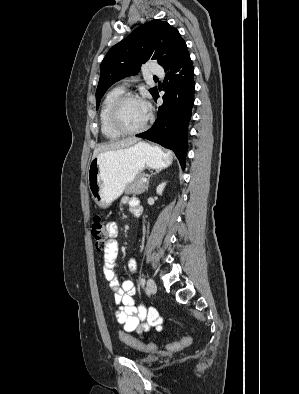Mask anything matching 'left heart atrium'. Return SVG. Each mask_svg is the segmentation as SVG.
I'll return each instance as SVG.
<instances>
[{"instance_id":"left-heart-atrium-1","label":"left heart atrium","mask_w":299,"mask_h":394,"mask_svg":"<svg viewBox=\"0 0 299 394\" xmlns=\"http://www.w3.org/2000/svg\"><path fill=\"white\" fill-rule=\"evenodd\" d=\"M143 104H144L145 108L147 109V111H149V108H150L149 103L144 101Z\"/></svg>"}]
</instances>
